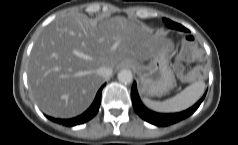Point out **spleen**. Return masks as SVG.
I'll use <instances>...</instances> for the list:
<instances>
[{"label":"spleen","mask_w":238,"mask_h":145,"mask_svg":"<svg viewBox=\"0 0 238 145\" xmlns=\"http://www.w3.org/2000/svg\"><path fill=\"white\" fill-rule=\"evenodd\" d=\"M204 91V81L198 80L186 87L183 91H181L173 98H170L163 102L143 98V103L146 107L156 112H179L195 104L204 94Z\"/></svg>","instance_id":"obj_1"}]
</instances>
